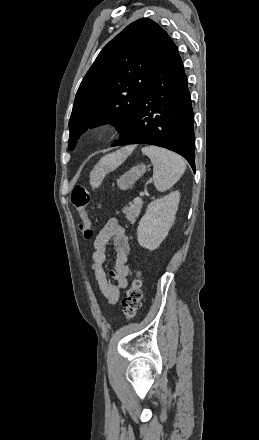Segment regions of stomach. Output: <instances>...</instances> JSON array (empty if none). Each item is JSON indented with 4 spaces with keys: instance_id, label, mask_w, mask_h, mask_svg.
Listing matches in <instances>:
<instances>
[{
    "instance_id": "stomach-1",
    "label": "stomach",
    "mask_w": 259,
    "mask_h": 440,
    "mask_svg": "<svg viewBox=\"0 0 259 440\" xmlns=\"http://www.w3.org/2000/svg\"><path fill=\"white\" fill-rule=\"evenodd\" d=\"M146 166L140 164L132 167L126 173H124L119 179H117V185L122 190L130 189L135 182L145 173Z\"/></svg>"
}]
</instances>
